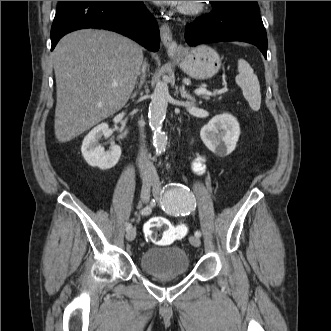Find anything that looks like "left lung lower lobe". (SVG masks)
Wrapping results in <instances>:
<instances>
[{"label": "left lung lower lobe", "instance_id": "1", "mask_svg": "<svg viewBox=\"0 0 331 331\" xmlns=\"http://www.w3.org/2000/svg\"><path fill=\"white\" fill-rule=\"evenodd\" d=\"M186 27L190 46L219 41H243L256 45L267 58V36L256 1H226Z\"/></svg>", "mask_w": 331, "mask_h": 331}]
</instances>
